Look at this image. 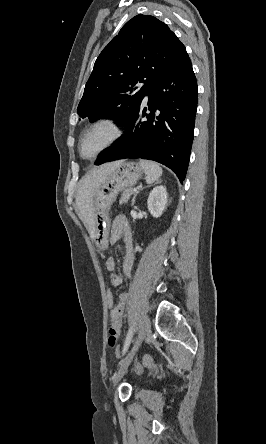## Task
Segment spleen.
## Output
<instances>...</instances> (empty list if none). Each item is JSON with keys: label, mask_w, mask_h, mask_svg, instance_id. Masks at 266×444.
I'll return each instance as SVG.
<instances>
[{"label": "spleen", "mask_w": 266, "mask_h": 444, "mask_svg": "<svg viewBox=\"0 0 266 444\" xmlns=\"http://www.w3.org/2000/svg\"><path fill=\"white\" fill-rule=\"evenodd\" d=\"M139 165L143 168L146 175V182L151 184L162 175V168L156 162L150 160H139Z\"/></svg>", "instance_id": "3e777b00"}]
</instances>
